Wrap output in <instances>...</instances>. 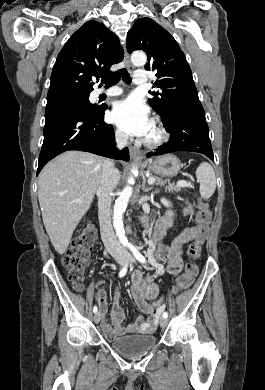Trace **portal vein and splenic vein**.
Here are the masks:
<instances>
[{
    "label": "portal vein and splenic vein",
    "mask_w": 265,
    "mask_h": 390,
    "mask_svg": "<svg viewBox=\"0 0 265 390\" xmlns=\"http://www.w3.org/2000/svg\"><path fill=\"white\" fill-rule=\"evenodd\" d=\"M155 182V178L154 177H150V178H148V184H153ZM180 185H183V186H188V184H187V182L186 181H184V180H181V181H179L178 182Z\"/></svg>",
    "instance_id": "portal-vein-and-splenic-vein-1"
}]
</instances>
